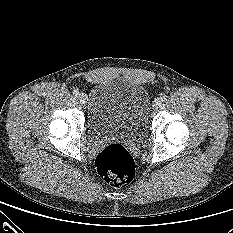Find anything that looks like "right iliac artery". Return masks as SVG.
<instances>
[{
    "instance_id": "right-iliac-artery-1",
    "label": "right iliac artery",
    "mask_w": 233,
    "mask_h": 233,
    "mask_svg": "<svg viewBox=\"0 0 233 233\" xmlns=\"http://www.w3.org/2000/svg\"><path fill=\"white\" fill-rule=\"evenodd\" d=\"M73 95H74V96H78V95H79V92H78L77 90H74V91H73Z\"/></svg>"
}]
</instances>
